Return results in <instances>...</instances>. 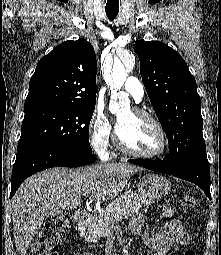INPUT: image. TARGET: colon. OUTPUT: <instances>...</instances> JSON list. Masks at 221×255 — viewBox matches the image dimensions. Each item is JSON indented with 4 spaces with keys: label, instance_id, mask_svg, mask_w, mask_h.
Wrapping results in <instances>:
<instances>
[{
    "label": "colon",
    "instance_id": "5ec220e1",
    "mask_svg": "<svg viewBox=\"0 0 221 255\" xmlns=\"http://www.w3.org/2000/svg\"><path fill=\"white\" fill-rule=\"evenodd\" d=\"M195 205L194 196L188 195L182 200V207L185 210H192ZM164 211H171V208L165 205L163 208V215L165 216ZM70 223L67 215H59L49 220L32 243L29 255H57V245L65 236ZM184 255H196V253L194 250L188 249Z\"/></svg>",
    "mask_w": 221,
    "mask_h": 255
}]
</instances>
